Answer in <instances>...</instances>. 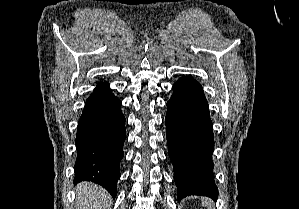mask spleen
<instances>
[{
  "instance_id": "1",
  "label": "spleen",
  "mask_w": 299,
  "mask_h": 209,
  "mask_svg": "<svg viewBox=\"0 0 299 209\" xmlns=\"http://www.w3.org/2000/svg\"><path fill=\"white\" fill-rule=\"evenodd\" d=\"M202 204H203V205H204V204L207 205V204H209V201H208L207 199H203V200H202ZM210 209H212V208H210ZM213 209H214V208H213Z\"/></svg>"
}]
</instances>
